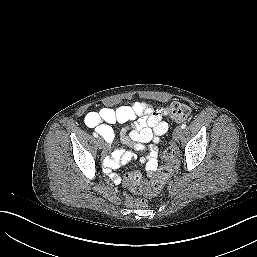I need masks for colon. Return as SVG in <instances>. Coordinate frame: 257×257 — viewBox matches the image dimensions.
Masks as SVG:
<instances>
[{
  "instance_id": "1",
  "label": "colon",
  "mask_w": 257,
  "mask_h": 257,
  "mask_svg": "<svg viewBox=\"0 0 257 257\" xmlns=\"http://www.w3.org/2000/svg\"><path fill=\"white\" fill-rule=\"evenodd\" d=\"M167 112L170 118L175 122L185 121L191 115L190 107L180 102L171 103L167 107ZM163 161L164 166L151 181L145 183L143 182L140 173L132 172L126 176L125 182L127 186H129L136 194L144 193L147 197L156 196L161 191L164 181L169 177L177 165L178 159L172 148L165 151ZM134 202L136 205L143 206L146 204V199L137 198Z\"/></svg>"
}]
</instances>
